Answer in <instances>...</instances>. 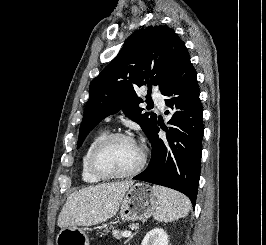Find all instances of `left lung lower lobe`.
I'll use <instances>...</instances> for the list:
<instances>
[{
    "mask_svg": "<svg viewBox=\"0 0 266 245\" xmlns=\"http://www.w3.org/2000/svg\"><path fill=\"white\" fill-rule=\"evenodd\" d=\"M162 94L167 97L166 105L173 113L168 121L171 126L169 130L164 129L166 139H160L158 125H162L156 121L148 136L152 145L151 161L133 179L178 190L187 195L195 207L204 127L196 70L190 57L182 62Z\"/></svg>",
    "mask_w": 266,
    "mask_h": 245,
    "instance_id": "1",
    "label": "left lung lower lobe"
}]
</instances>
